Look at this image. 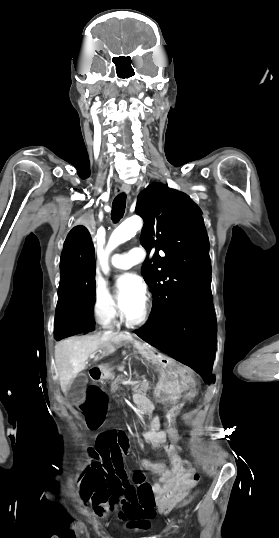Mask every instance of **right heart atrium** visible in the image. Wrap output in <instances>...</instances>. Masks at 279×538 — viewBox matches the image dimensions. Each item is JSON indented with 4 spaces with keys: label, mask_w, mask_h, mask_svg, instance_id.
Returning a JSON list of instances; mask_svg holds the SVG:
<instances>
[{
    "label": "right heart atrium",
    "mask_w": 279,
    "mask_h": 538,
    "mask_svg": "<svg viewBox=\"0 0 279 538\" xmlns=\"http://www.w3.org/2000/svg\"><path fill=\"white\" fill-rule=\"evenodd\" d=\"M94 298V315L98 324H106L119 316L117 301L98 282L95 284Z\"/></svg>",
    "instance_id": "1"
}]
</instances>
